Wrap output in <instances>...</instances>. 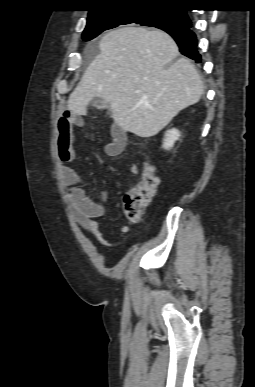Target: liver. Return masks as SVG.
<instances>
[{
  "mask_svg": "<svg viewBox=\"0 0 255 387\" xmlns=\"http://www.w3.org/2000/svg\"><path fill=\"white\" fill-rule=\"evenodd\" d=\"M100 54L90 63L70 94L68 109L86 115L93 98L110 104L114 122L143 138L158 134L203 93L198 71L164 31L123 27L99 43Z\"/></svg>",
  "mask_w": 255,
  "mask_h": 387,
  "instance_id": "1",
  "label": "liver"
}]
</instances>
